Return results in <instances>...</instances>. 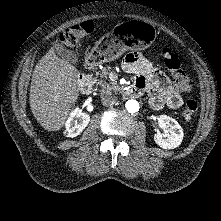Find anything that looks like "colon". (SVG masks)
I'll return each mask as SVG.
<instances>
[{
	"instance_id": "1",
	"label": "colon",
	"mask_w": 221,
	"mask_h": 221,
	"mask_svg": "<svg viewBox=\"0 0 221 221\" xmlns=\"http://www.w3.org/2000/svg\"><path fill=\"white\" fill-rule=\"evenodd\" d=\"M93 29V22L90 20L78 23L61 33L60 45L64 48L76 47L82 38L89 36L93 32ZM160 56L166 68L171 73L176 86L181 90H189V78L177 55L170 48L163 47L160 50ZM197 109L198 104L196 100L188 99L182 113L184 119L190 121Z\"/></svg>"
}]
</instances>
